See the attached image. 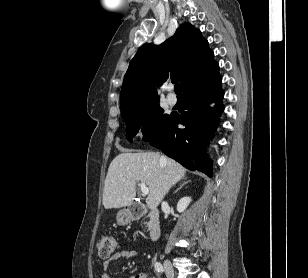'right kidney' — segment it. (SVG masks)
Masks as SVG:
<instances>
[{"mask_svg":"<svg viewBox=\"0 0 308 278\" xmlns=\"http://www.w3.org/2000/svg\"><path fill=\"white\" fill-rule=\"evenodd\" d=\"M190 202H191L190 197L181 198L177 203V211L180 212V213L184 212V210L188 207Z\"/></svg>","mask_w":308,"mask_h":278,"instance_id":"obj_1","label":"right kidney"}]
</instances>
